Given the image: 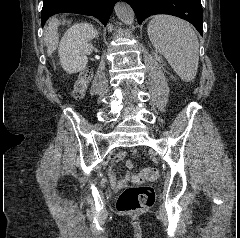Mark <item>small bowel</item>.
<instances>
[{"label":"small bowel","instance_id":"1","mask_svg":"<svg viewBox=\"0 0 240 238\" xmlns=\"http://www.w3.org/2000/svg\"><path fill=\"white\" fill-rule=\"evenodd\" d=\"M125 157L126 153L124 151L119 152L114 157V163L125 161L126 165L130 167V170L134 171L135 167L132 166L131 162L125 160ZM108 180H110V182H106V187H128V182H126V179H117L113 173L108 175Z\"/></svg>","mask_w":240,"mask_h":238}]
</instances>
